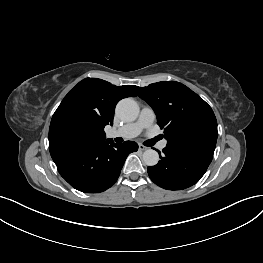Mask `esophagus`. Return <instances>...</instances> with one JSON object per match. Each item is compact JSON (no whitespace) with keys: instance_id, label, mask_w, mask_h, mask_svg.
Listing matches in <instances>:
<instances>
[{"instance_id":"obj_1","label":"esophagus","mask_w":263,"mask_h":263,"mask_svg":"<svg viewBox=\"0 0 263 263\" xmlns=\"http://www.w3.org/2000/svg\"><path fill=\"white\" fill-rule=\"evenodd\" d=\"M138 148L140 151H145L148 149V147L144 146L143 144H139Z\"/></svg>"}]
</instances>
